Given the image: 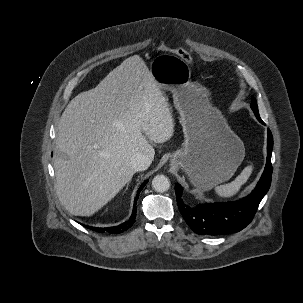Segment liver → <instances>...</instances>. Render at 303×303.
<instances>
[{"label":"liver","instance_id":"6515ba94","mask_svg":"<svg viewBox=\"0 0 303 303\" xmlns=\"http://www.w3.org/2000/svg\"><path fill=\"white\" fill-rule=\"evenodd\" d=\"M174 133L166 97L139 55L125 59L94 89L65 108L58 124L54 159L56 191L71 214L91 216L132 178L131 158H154L155 143Z\"/></svg>","mask_w":303,"mask_h":303}]
</instances>
